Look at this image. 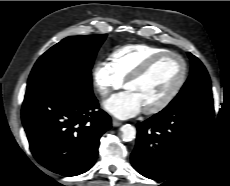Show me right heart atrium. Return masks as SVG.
Masks as SVG:
<instances>
[{
	"instance_id": "right-heart-atrium-1",
	"label": "right heart atrium",
	"mask_w": 230,
	"mask_h": 186,
	"mask_svg": "<svg viewBox=\"0 0 230 186\" xmlns=\"http://www.w3.org/2000/svg\"><path fill=\"white\" fill-rule=\"evenodd\" d=\"M93 82L97 92L102 97L109 96L113 91L120 89L123 81L117 76L111 64L106 60L96 63L92 72Z\"/></svg>"
}]
</instances>
